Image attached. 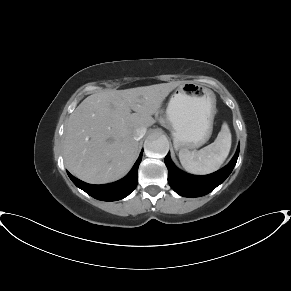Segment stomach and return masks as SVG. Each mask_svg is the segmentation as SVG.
<instances>
[{
  "label": "stomach",
  "instance_id": "0dacf381",
  "mask_svg": "<svg viewBox=\"0 0 291 291\" xmlns=\"http://www.w3.org/2000/svg\"><path fill=\"white\" fill-rule=\"evenodd\" d=\"M216 114V96L209 88L184 82L172 94L166 122L172 130L176 149L193 150L211 137Z\"/></svg>",
  "mask_w": 291,
  "mask_h": 291
}]
</instances>
